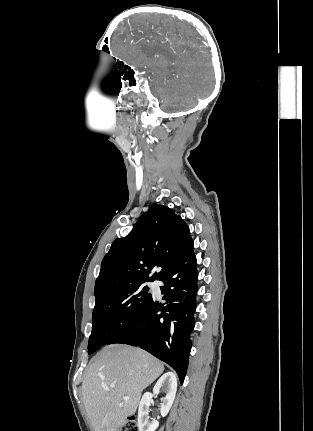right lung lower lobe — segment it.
<instances>
[{
  "label": "right lung lower lobe",
  "instance_id": "98d812e1",
  "mask_svg": "<svg viewBox=\"0 0 313 431\" xmlns=\"http://www.w3.org/2000/svg\"><path fill=\"white\" fill-rule=\"evenodd\" d=\"M191 240L183 255L160 280L166 306L153 299L137 318L107 344L139 346L166 362L183 383L191 350L194 328L197 277L196 257Z\"/></svg>",
  "mask_w": 313,
  "mask_h": 431
}]
</instances>
